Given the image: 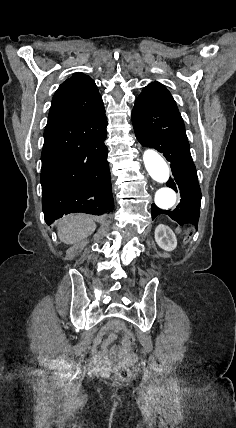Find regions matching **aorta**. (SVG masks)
<instances>
[{
	"instance_id": "1",
	"label": "aorta",
	"mask_w": 236,
	"mask_h": 428,
	"mask_svg": "<svg viewBox=\"0 0 236 428\" xmlns=\"http://www.w3.org/2000/svg\"><path fill=\"white\" fill-rule=\"evenodd\" d=\"M143 161L149 175L159 184H165L170 176V170L167 163L159 155L158 152L152 149L145 150ZM155 204L158 208L168 210L176 203V193L174 190L162 186L155 194Z\"/></svg>"
}]
</instances>
